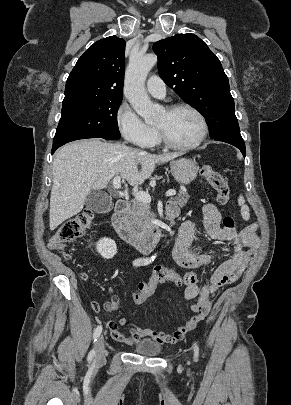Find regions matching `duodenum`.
Listing matches in <instances>:
<instances>
[{
	"label": "duodenum",
	"mask_w": 291,
	"mask_h": 405,
	"mask_svg": "<svg viewBox=\"0 0 291 405\" xmlns=\"http://www.w3.org/2000/svg\"><path fill=\"white\" fill-rule=\"evenodd\" d=\"M131 210V204L128 200L120 199L116 203L114 215H113V225L118 234V236L127 244L131 245L140 252H149L157 244L161 229L154 228L146 233L138 234L136 233L130 223L129 214ZM177 215V209L168 207L167 217L168 219H173Z\"/></svg>",
	"instance_id": "1"
}]
</instances>
